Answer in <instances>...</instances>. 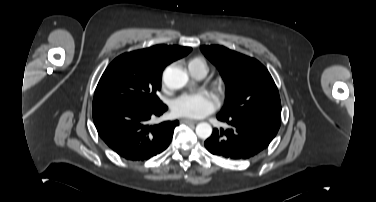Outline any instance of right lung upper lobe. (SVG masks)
<instances>
[{
	"label": "right lung upper lobe",
	"instance_id": "obj_1",
	"mask_svg": "<svg viewBox=\"0 0 376 202\" xmlns=\"http://www.w3.org/2000/svg\"><path fill=\"white\" fill-rule=\"evenodd\" d=\"M190 51V47L155 45L132 53L142 60L152 73L161 75L165 66L184 57Z\"/></svg>",
	"mask_w": 376,
	"mask_h": 202
}]
</instances>
